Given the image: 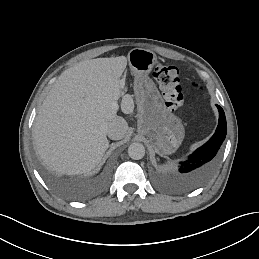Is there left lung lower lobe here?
Listing matches in <instances>:
<instances>
[{
    "label": "left lung lower lobe",
    "instance_id": "1",
    "mask_svg": "<svg viewBox=\"0 0 259 259\" xmlns=\"http://www.w3.org/2000/svg\"><path fill=\"white\" fill-rule=\"evenodd\" d=\"M219 111V125L211 139L193 152L187 160L180 162L178 171L171 178L175 180L195 179L208 174L216 165L217 153L226 136V117L223 109Z\"/></svg>",
    "mask_w": 259,
    "mask_h": 259
}]
</instances>
